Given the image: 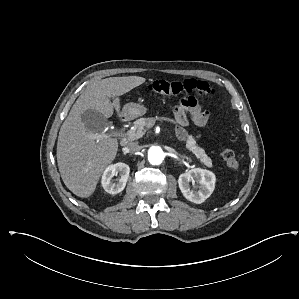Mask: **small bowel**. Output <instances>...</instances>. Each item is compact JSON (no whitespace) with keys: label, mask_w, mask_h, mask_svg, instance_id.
I'll use <instances>...</instances> for the list:
<instances>
[{"label":"small bowel","mask_w":299,"mask_h":299,"mask_svg":"<svg viewBox=\"0 0 299 299\" xmlns=\"http://www.w3.org/2000/svg\"><path fill=\"white\" fill-rule=\"evenodd\" d=\"M187 113L191 115L193 121L199 126L206 125L210 117V112L194 97L182 98L173 110L177 124L176 135L178 139L182 141L187 138V132L185 130V126L188 124Z\"/></svg>","instance_id":"obj_1"}]
</instances>
